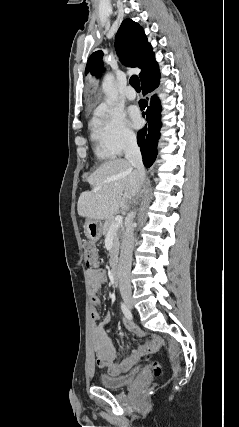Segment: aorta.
<instances>
[{
    "label": "aorta",
    "instance_id": "762f6f07",
    "mask_svg": "<svg viewBox=\"0 0 239 427\" xmlns=\"http://www.w3.org/2000/svg\"><path fill=\"white\" fill-rule=\"evenodd\" d=\"M102 90L109 104H114L117 101L118 93L114 84V76L111 73L105 75L102 82Z\"/></svg>",
    "mask_w": 239,
    "mask_h": 427
}]
</instances>
